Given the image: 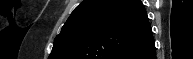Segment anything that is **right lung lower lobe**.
Returning a JSON list of instances; mask_svg holds the SVG:
<instances>
[{
	"instance_id": "1",
	"label": "right lung lower lobe",
	"mask_w": 193,
	"mask_h": 59,
	"mask_svg": "<svg viewBox=\"0 0 193 59\" xmlns=\"http://www.w3.org/2000/svg\"><path fill=\"white\" fill-rule=\"evenodd\" d=\"M124 59H156L155 42L153 36L138 50L127 55Z\"/></svg>"
}]
</instances>
